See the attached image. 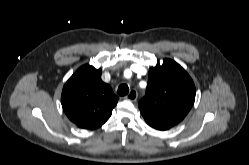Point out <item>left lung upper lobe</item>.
Wrapping results in <instances>:
<instances>
[{"mask_svg":"<svg viewBox=\"0 0 249 165\" xmlns=\"http://www.w3.org/2000/svg\"><path fill=\"white\" fill-rule=\"evenodd\" d=\"M195 94L187 72L175 61L164 59L149 69L146 95L138 106L149 125L170 128L190 111Z\"/></svg>","mask_w":249,"mask_h":165,"instance_id":"5c2ea615","label":"left lung upper lobe"}]
</instances>
